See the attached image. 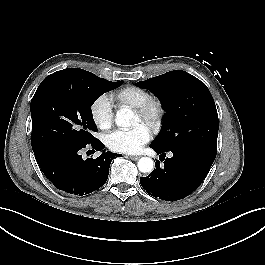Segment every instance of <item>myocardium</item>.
I'll return each mask as SVG.
<instances>
[{
  "label": "myocardium",
  "mask_w": 265,
  "mask_h": 265,
  "mask_svg": "<svg viewBox=\"0 0 265 265\" xmlns=\"http://www.w3.org/2000/svg\"><path fill=\"white\" fill-rule=\"evenodd\" d=\"M141 122L156 130L160 127L165 115V107L161 99L155 96L148 98L142 105L134 109Z\"/></svg>",
  "instance_id": "obj_1"
}]
</instances>
